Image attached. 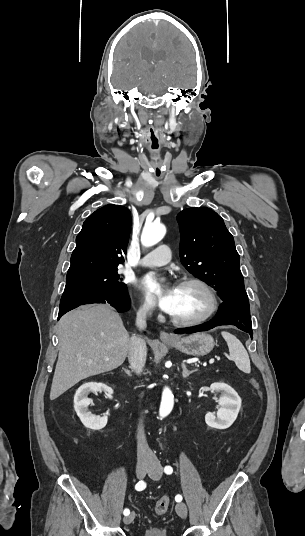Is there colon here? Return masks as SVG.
Returning a JSON list of instances; mask_svg holds the SVG:
<instances>
[{"label": "colon", "instance_id": "obj_1", "mask_svg": "<svg viewBox=\"0 0 305 536\" xmlns=\"http://www.w3.org/2000/svg\"><path fill=\"white\" fill-rule=\"evenodd\" d=\"M252 386L254 387V389L256 390V392L261 395V391L259 389V386H258V383L255 382V381H252ZM169 506H170V499L169 497L167 496H164L162 498H160L154 505V513L157 515V516H161V515H164L165 513H167L168 509H169Z\"/></svg>", "mask_w": 305, "mask_h": 536}]
</instances>
